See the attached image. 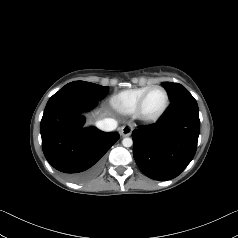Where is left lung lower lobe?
<instances>
[{
  "label": "left lung lower lobe",
  "mask_w": 238,
  "mask_h": 238,
  "mask_svg": "<svg viewBox=\"0 0 238 238\" xmlns=\"http://www.w3.org/2000/svg\"><path fill=\"white\" fill-rule=\"evenodd\" d=\"M199 132L197 102L185 92L172 100L160 121L132 132L136 164L151 179L175 178L193 159Z\"/></svg>",
  "instance_id": "left-lung-lower-lobe-1"
}]
</instances>
